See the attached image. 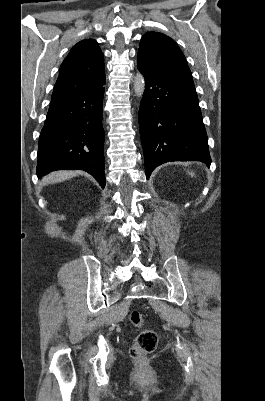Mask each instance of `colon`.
<instances>
[{
    "instance_id": "1",
    "label": "colon",
    "mask_w": 265,
    "mask_h": 401,
    "mask_svg": "<svg viewBox=\"0 0 265 401\" xmlns=\"http://www.w3.org/2000/svg\"><path fill=\"white\" fill-rule=\"evenodd\" d=\"M129 319L132 325L141 327L144 324L143 315L138 310L131 311ZM158 336L152 329L142 330L136 337L130 354L133 358H142L152 353L157 347Z\"/></svg>"
}]
</instances>
